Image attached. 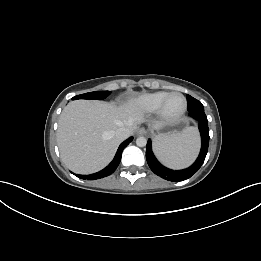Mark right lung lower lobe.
Listing matches in <instances>:
<instances>
[{
    "label": "right lung lower lobe",
    "mask_w": 261,
    "mask_h": 261,
    "mask_svg": "<svg viewBox=\"0 0 261 261\" xmlns=\"http://www.w3.org/2000/svg\"><path fill=\"white\" fill-rule=\"evenodd\" d=\"M133 140V137L127 139L126 141H124L123 143L120 144L117 153L113 159V161L103 170L94 173V174H90V175H79L76 174V176L78 178L84 179V180H96V179H100V178H104L106 176H109L110 174H112L116 168L118 167L120 160H121V156H122V152L124 150V148Z\"/></svg>",
    "instance_id": "obj_1"
}]
</instances>
